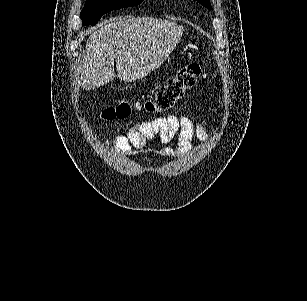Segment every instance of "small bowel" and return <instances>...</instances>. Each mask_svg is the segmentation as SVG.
Returning a JSON list of instances; mask_svg holds the SVG:
<instances>
[{
	"mask_svg": "<svg viewBox=\"0 0 307 301\" xmlns=\"http://www.w3.org/2000/svg\"><path fill=\"white\" fill-rule=\"evenodd\" d=\"M194 137L201 141L209 139L206 122H195L185 115H168L134 123L125 134L116 136L113 143L121 152L131 154L133 150L144 149L146 142L154 138L162 144L176 141V149L162 147L157 152L161 157L174 159L189 154Z\"/></svg>",
	"mask_w": 307,
	"mask_h": 301,
	"instance_id": "c3829d8e",
	"label": "small bowel"
}]
</instances>
